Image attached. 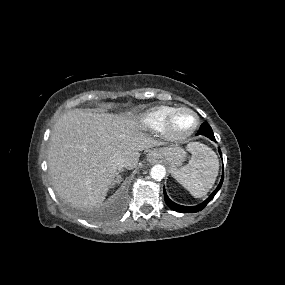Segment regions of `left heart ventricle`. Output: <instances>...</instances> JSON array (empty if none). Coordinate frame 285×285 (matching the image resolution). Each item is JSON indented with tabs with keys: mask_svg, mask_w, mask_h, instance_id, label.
<instances>
[{
	"mask_svg": "<svg viewBox=\"0 0 285 285\" xmlns=\"http://www.w3.org/2000/svg\"><path fill=\"white\" fill-rule=\"evenodd\" d=\"M192 123H193V118L190 115L185 114L177 119L176 126L181 130H185L189 128L192 125Z\"/></svg>",
	"mask_w": 285,
	"mask_h": 285,
	"instance_id": "obj_1",
	"label": "left heart ventricle"
}]
</instances>
